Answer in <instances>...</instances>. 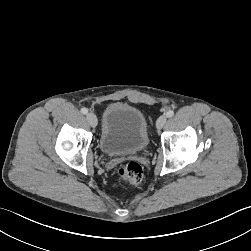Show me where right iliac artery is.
I'll list each match as a JSON object with an SVG mask.
<instances>
[{
  "label": "right iliac artery",
  "instance_id": "82829eb1",
  "mask_svg": "<svg viewBox=\"0 0 251 251\" xmlns=\"http://www.w3.org/2000/svg\"><path fill=\"white\" fill-rule=\"evenodd\" d=\"M81 113H82V114H87V113H88V109L85 108V107L82 108V109H81Z\"/></svg>",
  "mask_w": 251,
  "mask_h": 251
}]
</instances>
